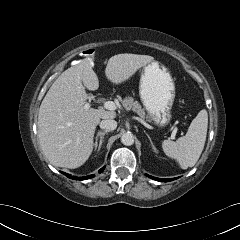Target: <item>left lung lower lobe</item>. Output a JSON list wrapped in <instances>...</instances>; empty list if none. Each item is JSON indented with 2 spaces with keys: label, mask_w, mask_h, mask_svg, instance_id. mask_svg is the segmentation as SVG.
<instances>
[{
  "label": "left lung lower lobe",
  "mask_w": 240,
  "mask_h": 240,
  "mask_svg": "<svg viewBox=\"0 0 240 240\" xmlns=\"http://www.w3.org/2000/svg\"><path fill=\"white\" fill-rule=\"evenodd\" d=\"M149 178L151 179H154L156 181H160V182H168V181H172L174 179H177V178H173V179H162V178H156V177H153V176H148Z\"/></svg>",
  "instance_id": "obj_1"
}]
</instances>
